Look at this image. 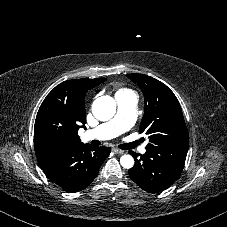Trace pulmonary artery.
<instances>
[{
	"mask_svg": "<svg viewBox=\"0 0 227 227\" xmlns=\"http://www.w3.org/2000/svg\"><path fill=\"white\" fill-rule=\"evenodd\" d=\"M117 103L118 112L115 117L92 130L86 131L82 135L83 141L112 139L132 128L136 118L137 97L135 95L126 96L118 99ZM140 153L145 154L146 149L144 147L140 148Z\"/></svg>",
	"mask_w": 227,
	"mask_h": 227,
	"instance_id": "e3ab8cb5",
	"label": "pulmonary artery"
}]
</instances>
